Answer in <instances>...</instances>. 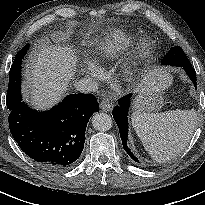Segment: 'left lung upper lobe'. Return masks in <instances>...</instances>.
I'll use <instances>...</instances> for the list:
<instances>
[{
  "instance_id": "left-lung-upper-lobe-1",
  "label": "left lung upper lobe",
  "mask_w": 205,
  "mask_h": 205,
  "mask_svg": "<svg viewBox=\"0 0 205 205\" xmlns=\"http://www.w3.org/2000/svg\"><path fill=\"white\" fill-rule=\"evenodd\" d=\"M162 64H168L171 66H187L191 65L186 54L181 47L175 46L165 55L162 60Z\"/></svg>"
}]
</instances>
